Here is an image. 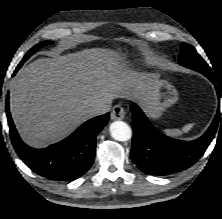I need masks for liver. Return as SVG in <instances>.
<instances>
[{
    "mask_svg": "<svg viewBox=\"0 0 222 219\" xmlns=\"http://www.w3.org/2000/svg\"><path fill=\"white\" fill-rule=\"evenodd\" d=\"M155 76L128 69L119 53L91 48L40 58L10 82V110L22 139L34 147L57 142L115 98L141 104Z\"/></svg>",
    "mask_w": 222,
    "mask_h": 219,
    "instance_id": "1",
    "label": "liver"
}]
</instances>
